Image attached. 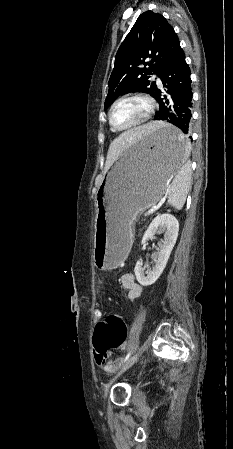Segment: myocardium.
<instances>
[{"instance_id": "1", "label": "myocardium", "mask_w": 233, "mask_h": 449, "mask_svg": "<svg viewBox=\"0 0 233 449\" xmlns=\"http://www.w3.org/2000/svg\"><path fill=\"white\" fill-rule=\"evenodd\" d=\"M128 98H138V99L143 100V101L147 104V107H148L147 113H146V115H145L141 120H139V121L136 122V123H133V124H131V125L124 126V127L116 126V125L113 123V121H112V112H113V109H114V107H115L120 101L125 100V99H128ZM155 108H156L155 102H154V100H153L149 95H147V94H145V93H142V92H131V93H126V94H124V95L118 97V98L111 104V106H110V108H109V111H108V122H109L110 127H111L113 130H115V131H127V130H131V129L137 128V127L142 126V125H144L145 123H147V122L151 119L152 115L154 114Z\"/></svg>"}]
</instances>
